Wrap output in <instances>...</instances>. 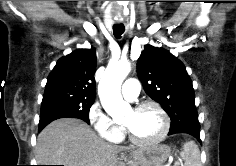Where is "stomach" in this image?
Listing matches in <instances>:
<instances>
[{"label":"stomach","mask_w":236,"mask_h":166,"mask_svg":"<svg viewBox=\"0 0 236 166\" xmlns=\"http://www.w3.org/2000/svg\"><path fill=\"white\" fill-rule=\"evenodd\" d=\"M141 153L135 166H165V162L171 154L170 147L157 144L140 149Z\"/></svg>","instance_id":"obj_1"}]
</instances>
